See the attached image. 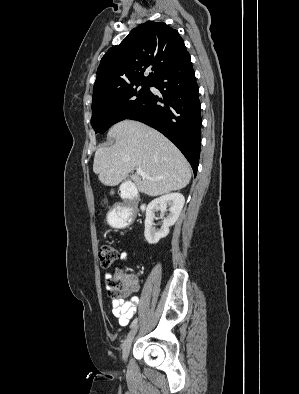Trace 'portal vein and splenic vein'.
<instances>
[{"label": "portal vein and splenic vein", "instance_id": "portal-vein-and-splenic-vein-1", "mask_svg": "<svg viewBox=\"0 0 299 394\" xmlns=\"http://www.w3.org/2000/svg\"><path fill=\"white\" fill-rule=\"evenodd\" d=\"M136 173L141 175L142 177L150 178L141 168H137Z\"/></svg>", "mask_w": 299, "mask_h": 394}]
</instances>
